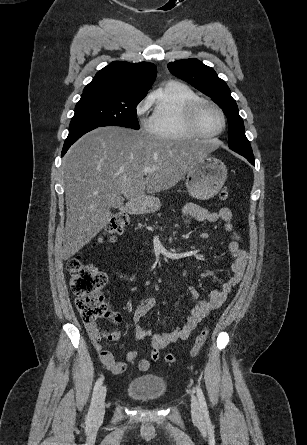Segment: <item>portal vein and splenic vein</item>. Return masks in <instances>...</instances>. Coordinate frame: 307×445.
Here are the masks:
<instances>
[{"mask_svg":"<svg viewBox=\"0 0 307 445\" xmlns=\"http://www.w3.org/2000/svg\"><path fill=\"white\" fill-rule=\"evenodd\" d=\"M154 170H156V168H151V166H144L143 168V172H154Z\"/></svg>","mask_w":307,"mask_h":445,"instance_id":"portal-vein-and-splenic-vein-1","label":"portal vein and splenic vein"}]
</instances>
